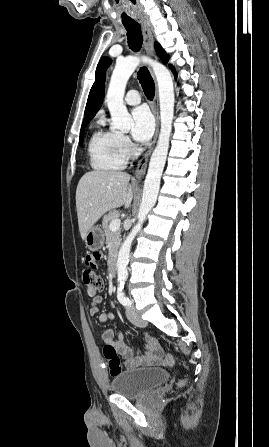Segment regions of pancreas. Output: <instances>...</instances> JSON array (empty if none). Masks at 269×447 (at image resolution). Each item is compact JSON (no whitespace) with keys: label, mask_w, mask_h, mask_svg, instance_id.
<instances>
[{"label":"pancreas","mask_w":269,"mask_h":447,"mask_svg":"<svg viewBox=\"0 0 269 447\" xmlns=\"http://www.w3.org/2000/svg\"><path fill=\"white\" fill-rule=\"evenodd\" d=\"M119 214L117 210H112V212H108L106 216L103 218L102 227L104 229V233L106 235V243H110V257L107 259L108 265L112 263L114 257L117 255V249L120 243V231H111L109 225L112 220H118Z\"/></svg>","instance_id":"obj_1"}]
</instances>
